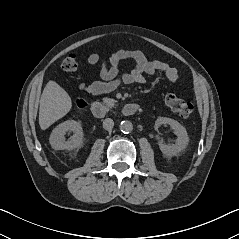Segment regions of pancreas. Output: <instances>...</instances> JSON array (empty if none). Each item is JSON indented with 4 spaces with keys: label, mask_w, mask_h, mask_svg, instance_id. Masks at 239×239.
I'll list each match as a JSON object with an SVG mask.
<instances>
[{
    "label": "pancreas",
    "mask_w": 239,
    "mask_h": 239,
    "mask_svg": "<svg viewBox=\"0 0 239 239\" xmlns=\"http://www.w3.org/2000/svg\"><path fill=\"white\" fill-rule=\"evenodd\" d=\"M103 103L106 104L109 108L117 106V100L108 97L103 98Z\"/></svg>",
    "instance_id": "obj_1"
}]
</instances>
